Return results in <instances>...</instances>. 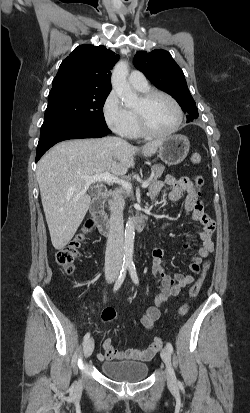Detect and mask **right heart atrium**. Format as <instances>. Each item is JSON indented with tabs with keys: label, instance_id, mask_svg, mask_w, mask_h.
<instances>
[{
	"label": "right heart atrium",
	"instance_id": "right-heart-atrium-1",
	"mask_svg": "<svg viewBox=\"0 0 250 413\" xmlns=\"http://www.w3.org/2000/svg\"><path fill=\"white\" fill-rule=\"evenodd\" d=\"M102 115L107 126L116 134L127 136L130 128V116L117 93L112 90L102 105Z\"/></svg>",
	"mask_w": 250,
	"mask_h": 413
}]
</instances>
